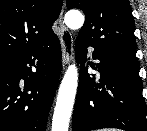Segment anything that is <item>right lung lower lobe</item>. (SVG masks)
<instances>
[{"label": "right lung lower lobe", "mask_w": 147, "mask_h": 131, "mask_svg": "<svg viewBox=\"0 0 147 131\" xmlns=\"http://www.w3.org/2000/svg\"><path fill=\"white\" fill-rule=\"evenodd\" d=\"M60 71L57 36L0 61V131H46Z\"/></svg>", "instance_id": "1"}]
</instances>
